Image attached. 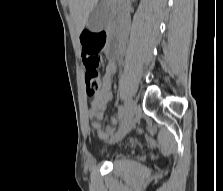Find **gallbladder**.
<instances>
[{"label": "gallbladder", "mask_w": 223, "mask_h": 191, "mask_svg": "<svg viewBox=\"0 0 223 191\" xmlns=\"http://www.w3.org/2000/svg\"><path fill=\"white\" fill-rule=\"evenodd\" d=\"M108 14V11L100 5L94 7L87 19V26L89 30L92 32L102 30L106 25Z\"/></svg>", "instance_id": "1"}]
</instances>
